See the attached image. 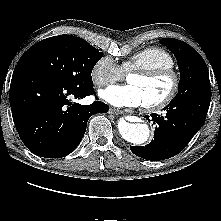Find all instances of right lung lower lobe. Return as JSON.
<instances>
[{
    "label": "right lung lower lobe",
    "instance_id": "98d812e1",
    "mask_svg": "<svg viewBox=\"0 0 221 221\" xmlns=\"http://www.w3.org/2000/svg\"><path fill=\"white\" fill-rule=\"evenodd\" d=\"M91 94H95L93 87H70L36 70L15 67L9 99L22 142L40 157L70 154L81 142L89 117L108 112L101 101L90 105L70 102Z\"/></svg>",
    "mask_w": 221,
    "mask_h": 221
}]
</instances>
